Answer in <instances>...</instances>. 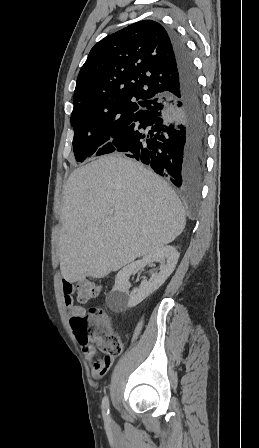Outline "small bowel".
<instances>
[{
	"mask_svg": "<svg viewBox=\"0 0 259 448\" xmlns=\"http://www.w3.org/2000/svg\"><path fill=\"white\" fill-rule=\"evenodd\" d=\"M64 301L71 317V320L75 317H80L85 314V309L74 303L72 294L74 287L71 282L63 280L62 282ZM83 353L88 362H93L91 369V375L94 379L103 377L111 367L113 363V358L110 356H105L103 358L96 359V349L93 345L86 344L83 345Z\"/></svg>",
	"mask_w": 259,
	"mask_h": 448,
	"instance_id": "small-bowel-1",
	"label": "small bowel"
}]
</instances>
